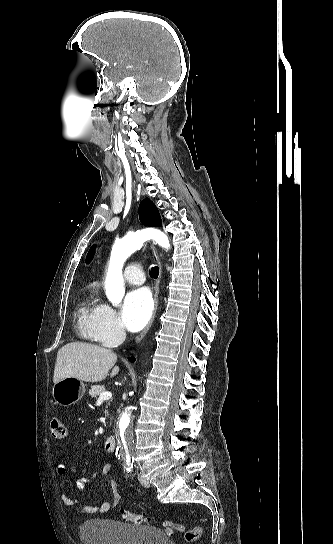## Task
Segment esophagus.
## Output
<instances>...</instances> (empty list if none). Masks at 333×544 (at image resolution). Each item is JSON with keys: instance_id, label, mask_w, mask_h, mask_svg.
<instances>
[{"instance_id": "1", "label": "esophagus", "mask_w": 333, "mask_h": 544, "mask_svg": "<svg viewBox=\"0 0 333 544\" xmlns=\"http://www.w3.org/2000/svg\"><path fill=\"white\" fill-rule=\"evenodd\" d=\"M151 249H152L153 256H154L155 260L157 261V264H158V267H159V275H158V278H157V280L155 282V286H154V310H153L150 321L148 322L146 327L143 329V331L136 337L135 343H139L146 336V334L148 333L150 327L153 324L154 318L156 316L158 304H159L160 281H161V277H162L163 268H162V263H161V260H160V256H159L158 251H157L154 244H151Z\"/></svg>"}]
</instances>
